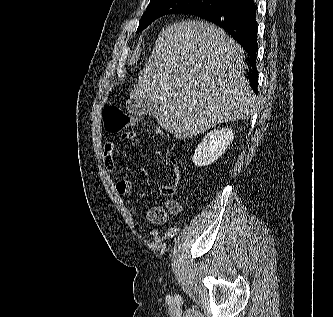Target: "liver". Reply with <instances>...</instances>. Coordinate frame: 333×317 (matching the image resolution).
Instances as JSON below:
<instances>
[{
  "label": "liver",
  "instance_id": "liver-1",
  "mask_svg": "<svg viewBox=\"0 0 333 317\" xmlns=\"http://www.w3.org/2000/svg\"><path fill=\"white\" fill-rule=\"evenodd\" d=\"M243 53L215 25L176 22L158 35L130 99L153 100L158 124L178 139L247 119L257 102L244 76Z\"/></svg>",
  "mask_w": 333,
  "mask_h": 317
}]
</instances>
